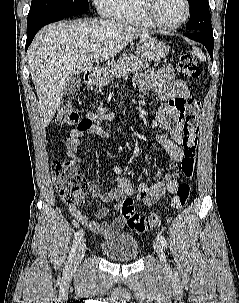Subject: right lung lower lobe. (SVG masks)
Returning <instances> with one entry per match:
<instances>
[{
    "label": "right lung lower lobe",
    "instance_id": "obj_1",
    "mask_svg": "<svg viewBox=\"0 0 239 303\" xmlns=\"http://www.w3.org/2000/svg\"><path fill=\"white\" fill-rule=\"evenodd\" d=\"M86 11H73V12H63V13H53V14H47L44 17H41L37 20H34L30 23H27V28H28V35H27V40H26V51L31 44L33 38L35 37L36 33L45 25L60 21L63 18L70 17L73 15H79L83 14Z\"/></svg>",
    "mask_w": 239,
    "mask_h": 303
}]
</instances>
